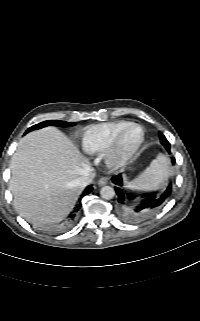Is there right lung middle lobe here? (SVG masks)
Listing matches in <instances>:
<instances>
[{"mask_svg": "<svg viewBox=\"0 0 200 321\" xmlns=\"http://www.w3.org/2000/svg\"><path fill=\"white\" fill-rule=\"evenodd\" d=\"M75 125V123H71V122H65V121H59V120H48V121H44L41 122L39 124H36L32 127H30L27 131H32V130H36V129H40L46 126H58V127H69V126H73Z\"/></svg>", "mask_w": 200, "mask_h": 321, "instance_id": "dd1d6c3e", "label": "right lung middle lobe"}]
</instances>
